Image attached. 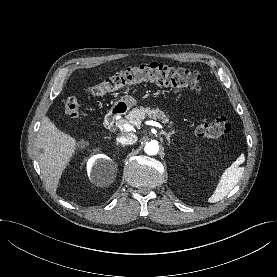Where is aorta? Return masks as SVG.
<instances>
[{
  "instance_id": "762f6f07",
  "label": "aorta",
  "mask_w": 277,
  "mask_h": 277,
  "mask_svg": "<svg viewBox=\"0 0 277 277\" xmlns=\"http://www.w3.org/2000/svg\"><path fill=\"white\" fill-rule=\"evenodd\" d=\"M144 150L148 155H156L159 151L158 143L156 141H151L146 144Z\"/></svg>"
}]
</instances>
